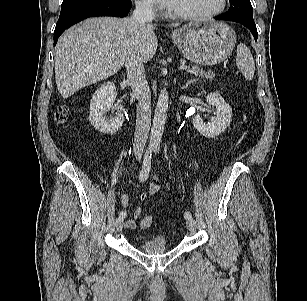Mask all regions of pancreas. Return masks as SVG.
Returning <instances> with one entry per match:
<instances>
[{
  "label": "pancreas",
  "mask_w": 307,
  "mask_h": 301,
  "mask_svg": "<svg viewBox=\"0 0 307 301\" xmlns=\"http://www.w3.org/2000/svg\"><path fill=\"white\" fill-rule=\"evenodd\" d=\"M187 73L193 74L195 76H199L201 78L213 80L215 75L213 72H205L203 69L199 68L198 66H192L187 69Z\"/></svg>",
  "instance_id": "obj_1"
}]
</instances>
